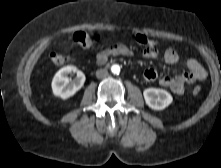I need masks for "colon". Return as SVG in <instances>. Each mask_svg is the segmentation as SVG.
Wrapping results in <instances>:
<instances>
[{"instance_id":"obj_1","label":"colon","mask_w":221,"mask_h":168,"mask_svg":"<svg viewBox=\"0 0 221 168\" xmlns=\"http://www.w3.org/2000/svg\"><path fill=\"white\" fill-rule=\"evenodd\" d=\"M100 38L101 36L97 32H77L73 36V41L78 46L86 47L95 42H98ZM135 40L139 45H142L145 48L155 46V42L143 34H137L135 36ZM49 58L51 62L55 65H61L68 60L67 56L57 52H52ZM192 92L194 95H198L201 92V88L199 86H196Z\"/></svg>"}]
</instances>
